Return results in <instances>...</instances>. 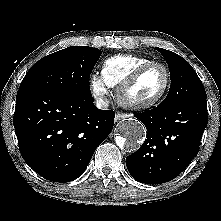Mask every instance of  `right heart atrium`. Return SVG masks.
Segmentation results:
<instances>
[{"mask_svg":"<svg viewBox=\"0 0 221 221\" xmlns=\"http://www.w3.org/2000/svg\"><path fill=\"white\" fill-rule=\"evenodd\" d=\"M90 87L94 98L98 102L104 103L108 95V85L105 83L103 77L97 74L91 75Z\"/></svg>","mask_w":221,"mask_h":221,"instance_id":"right-heart-atrium-1","label":"right heart atrium"}]
</instances>
